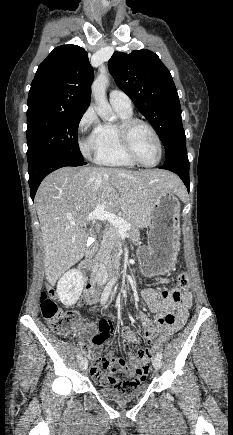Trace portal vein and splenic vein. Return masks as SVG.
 Listing matches in <instances>:
<instances>
[{"mask_svg":"<svg viewBox=\"0 0 233 435\" xmlns=\"http://www.w3.org/2000/svg\"><path fill=\"white\" fill-rule=\"evenodd\" d=\"M86 222L91 220H105L111 223L114 227L118 229L120 233L126 234L131 228V223L126 222L123 218L105 211V204L102 203L98 205L88 216L86 217ZM86 224V223H85ZM72 226H77L76 223L71 222Z\"/></svg>","mask_w":233,"mask_h":435,"instance_id":"portal-vein-and-splenic-vein-1","label":"portal vein and splenic vein"}]
</instances>
